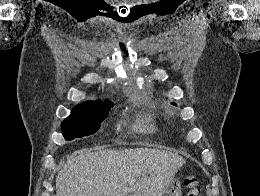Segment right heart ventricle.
Here are the masks:
<instances>
[{
	"mask_svg": "<svg viewBox=\"0 0 260 196\" xmlns=\"http://www.w3.org/2000/svg\"><path fill=\"white\" fill-rule=\"evenodd\" d=\"M115 192H125V190H116Z\"/></svg>",
	"mask_w": 260,
	"mask_h": 196,
	"instance_id": "right-heart-ventricle-1",
	"label": "right heart ventricle"
}]
</instances>
